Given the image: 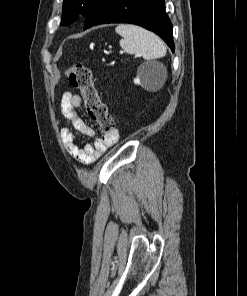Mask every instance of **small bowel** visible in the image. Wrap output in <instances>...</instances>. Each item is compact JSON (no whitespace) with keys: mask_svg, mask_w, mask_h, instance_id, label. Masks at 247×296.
I'll list each match as a JSON object with an SVG mask.
<instances>
[{"mask_svg":"<svg viewBox=\"0 0 247 296\" xmlns=\"http://www.w3.org/2000/svg\"><path fill=\"white\" fill-rule=\"evenodd\" d=\"M61 112L65 119L78 133L93 137L95 131L83 120L79 110L83 106L79 95L66 91L61 97ZM61 138L68 153L77 161L89 165L95 162L102 154L119 139L117 130L94 140L92 144H82L69 128L61 129Z\"/></svg>","mask_w":247,"mask_h":296,"instance_id":"1","label":"small bowel"}]
</instances>
